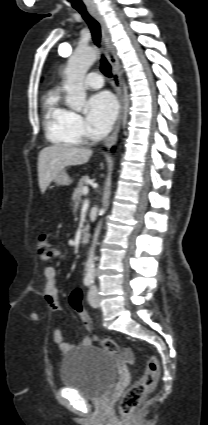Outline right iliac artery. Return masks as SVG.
<instances>
[{"mask_svg":"<svg viewBox=\"0 0 208 425\" xmlns=\"http://www.w3.org/2000/svg\"><path fill=\"white\" fill-rule=\"evenodd\" d=\"M93 283V280L92 279H85L84 280V284L86 285V286H89V285H91Z\"/></svg>","mask_w":208,"mask_h":425,"instance_id":"82829eb1","label":"right iliac artery"}]
</instances>
